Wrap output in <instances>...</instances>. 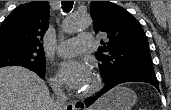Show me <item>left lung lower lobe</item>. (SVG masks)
<instances>
[{
  "label": "left lung lower lobe",
  "instance_id": "0a47b994",
  "mask_svg": "<svg viewBox=\"0 0 171 110\" xmlns=\"http://www.w3.org/2000/svg\"><path fill=\"white\" fill-rule=\"evenodd\" d=\"M124 82H145L155 86L159 90L158 80L154 72L132 71L125 72L114 76L112 79L105 81L104 88L93 98L85 100L86 106H90L96 99L109 91L111 88Z\"/></svg>",
  "mask_w": 171,
  "mask_h": 110
}]
</instances>
